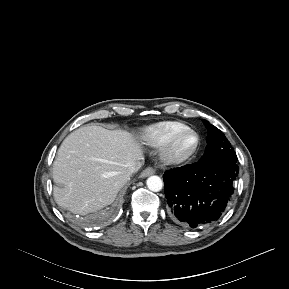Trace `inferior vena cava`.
Masks as SVG:
<instances>
[{"label": "inferior vena cava", "instance_id": "1", "mask_svg": "<svg viewBox=\"0 0 289 289\" xmlns=\"http://www.w3.org/2000/svg\"><path fill=\"white\" fill-rule=\"evenodd\" d=\"M138 170V167L136 166H129L124 173L130 177L131 174L135 173Z\"/></svg>", "mask_w": 289, "mask_h": 289}]
</instances>
